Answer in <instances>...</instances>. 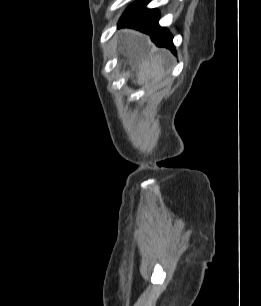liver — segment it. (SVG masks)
<instances>
[{"instance_id": "6515ba94", "label": "liver", "mask_w": 261, "mask_h": 306, "mask_svg": "<svg viewBox=\"0 0 261 306\" xmlns=\"http://www.w3.org/2000/svg\"><path fill=\"white\" fill-rule=\"evenodd\" d=\"M161 54L153 50L148 58H142L138 64L137 84L151 86L159 84L165 76Z\"/></svg>"}]
</instances>
